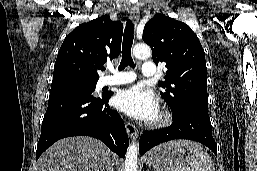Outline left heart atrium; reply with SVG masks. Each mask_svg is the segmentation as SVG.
<instances>
[{
	"label": "left heart atrium",
	"mask_w": 257,
	"mask_h": 171,
	"mask_svg": "<svg viewBox=\"0 0 257 171\" xmlns=\"http://www.w3.org/2000/svg\"><path fill=\"white\" fill-rule=\"evenodd\" d=\"M114 106L130 117L151 120L158 112L156 96L142 86L136 85L117 93Z\"/></svg>",
	"instance_id": "obj_1"
}]
</instances>
